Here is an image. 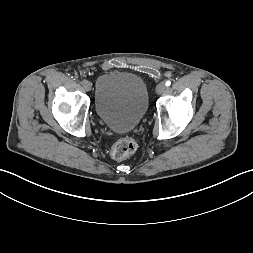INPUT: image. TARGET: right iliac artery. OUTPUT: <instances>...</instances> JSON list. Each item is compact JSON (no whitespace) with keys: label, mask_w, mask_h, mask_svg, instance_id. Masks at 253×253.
<instances>
[{"label":"right iliac artery","mask_w":253,"mask_h":253,"mask_svg":"<svg viewBox=\"0 0 253 253\" xmlns=\"http://www.w3.org/2000/svg\"><path fill=\"white\" fill-rule=\"evenodd\" d=\"M86 80H81L80 83L83 85Z\"/></svg>","instance_id":"1"}]
</instances>
